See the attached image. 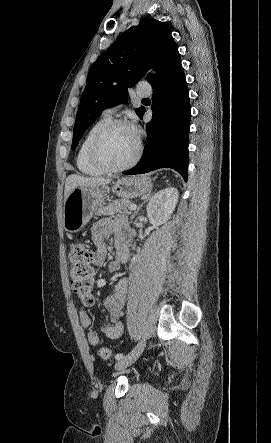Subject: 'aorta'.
Instances as JSON below:
<instances>
[{"instance_id": "1", "label": "aorta", "mask_w": 271, "mask_h": 443, "mask_svg": "<svg viewBox=\"0 0 271 443\" xmlns=\"http://www.w3.org/2000/svg\"><path fill=\"white\" fill-rule=\"evenodd\" d=\"M149 72H151V74H156V72H153V70H149Z\"/></svg>"}]
</instances>
